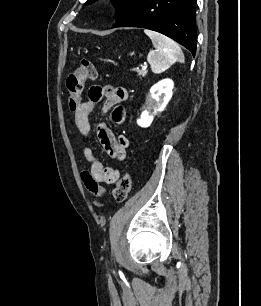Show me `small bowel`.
Wrapping results in <instances>:
<instances>
[{"label": "small bowel", "mask_w": 261, "mask_h": 306, "mask_svg": "<svg viewBox=\"0 0 261 306\" xmlns=\"http://www.w3.org/2000/svg\"><path fill=\"white\" fill-rule=\"evenodd\" d=\"M127 96V90L123 87L92 86L88 91V99L81 102L74 110V121L79 133L85 138L91 136L90 114L95 104L102 99H104L102 111L106 113L112 109L113 123L122 124L125 120V110L121 103L127 99ZM96 132L99 142L112 160L122 161L125 159L130 145L129 139L125 135L114 136L104 124H99ZM82 151L89 167V170L82 172V180L89 193L98 201L105 196V189L102 184L114 183L119 177V170L114 167H104L91 147L84 145Z\"/></svg>", "instance_id": "1"}]
</instances>
